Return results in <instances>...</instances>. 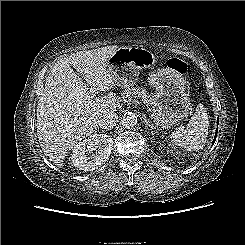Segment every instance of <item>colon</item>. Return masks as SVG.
<instances>
[{
	"label": "colon",
	"mask_w": 245,
	"mask_h": 245,
	"mask_svg": "<svg viewBox=\"0 0 245 245\" xmlns=\"http://www.w3.org/2000/svg\"><path fill=\"white\" fill-rule=\"evenodd\" d=\"M168 66L182 75L186 74L188 70L187 64L176 58L170 59Z\"/></svg>",
	"instance_id": "1"
}]
</instances>
